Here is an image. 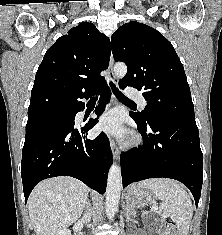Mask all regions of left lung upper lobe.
Masks as SVG:
<instances>
[{
  "label": "left lung upper lobe",
  "instance_id": "left-lung-upper-lobe-1",
  "mask_svg": "<svg viewBox=\"0 0 222 235\" xmlns=\"http://www.w3.org/2000/svg\"><path fill=\"white\" fill-rule=\"evenodd\" d=\"M111 44L115 61L128 66L119 86L142 91L147 101L144 111L134 113L139 120L162 117L196 125L183 65L172 44L160 32L130 21L112 35Z\"/></svg>",
  "mask_w": 222,
  "mask_h": 235
}]
</instances>
